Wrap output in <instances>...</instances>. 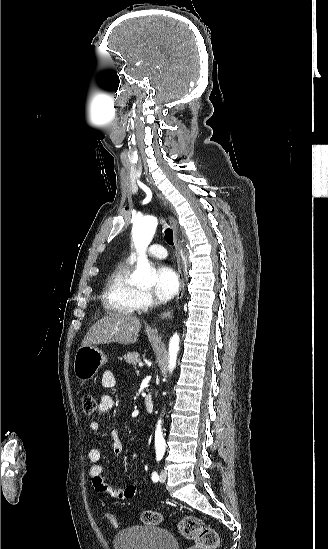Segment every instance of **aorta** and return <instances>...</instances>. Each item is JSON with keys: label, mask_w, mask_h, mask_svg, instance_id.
Here are the masks:
<instances>
[{"label": "aorta", "mask_w": 328, "mask_h": 549, "mask_svg": "<svg viewBox=\"0 0 328 549\" xmlns=\"http://www.w3.org/2000/svg\"><path fill=\"white\" fill-rule=\"evenodd\" d=\"M158 221L154 216H145L135 220L132 227V238L139 257L136 264V270L132 274V281L139 286L149 287L152 286L153 274L150 263L145 255L146 249L155 234ZM179 335L175 333L169 342V371L176 366L177 354L179 351ZM162 420L157 423L155 431V447L157 451H165L166 443L163 437Z\"/></svg>", "instance_id": "aorta-1"}]
</instances>
